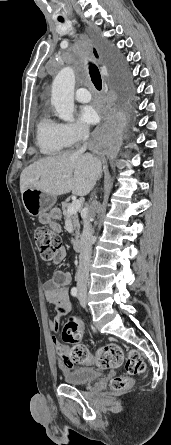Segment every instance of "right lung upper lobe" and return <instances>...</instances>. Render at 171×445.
Listing matches in <instances>:
<instances>
[{
  "label": "right lung upper lobe",
  "instance_id": "right-lung-upper-lobe-1",
  "mask_svg": "<svg viewBox=\"0 0 171 445\" xmlns=\"http://www.w3.org/2000/svg\"><path fill=\"white\" fill-rule=\"evenodd\" d=\"M94 53H95V55H96V57H97V53H96V51H95Z\"/></svg>",
  "mask_w": 171,
  "mask_h": 445
}]
</instances>
